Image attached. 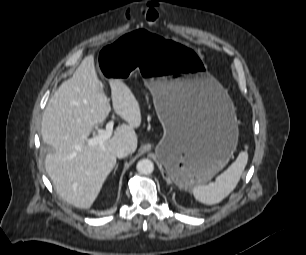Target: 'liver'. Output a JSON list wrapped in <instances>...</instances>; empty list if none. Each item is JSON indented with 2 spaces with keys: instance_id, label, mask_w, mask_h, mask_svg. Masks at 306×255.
I'll use <instances>...</instances> for the list:
<instances>
[{
  "instance_id": "liver-1",
  "label": "liver",
  "mask_w": 306,
  "mask_h": 255,
  "mask_svg": "<svg viewBox=\"0 0 306 255\" xmlns=\"http://www.w3.org/2000/svg\"><path fill=\"white\" fill-rule=\"evenodd\" d=\"M108 82L113 109L128 124L118 126L102 145L87 144L93 128L111 111L93 55L85 57L73 77L60 85L42 117V139L53 148L45 159L46 171L60 197L79 208H90L98 197L116 164V147L128 144L133 152L137 148L134 129L142 121L139 102L121 79Z\"/></svg>"
}]
</instances>
